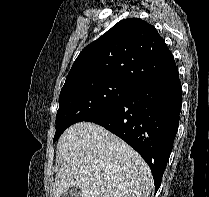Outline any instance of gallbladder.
<instances>
[{
	"instance_id": "bac80fb5",
	"label": "gallbladder",
	"mask_w": 209,
	"mask_h": 197,
	"mask_svg": "<svg viewBox=\"0 0 209 197\" xmlns=\"http://www.w3.org/2000/svg\"><path fill=\"white\" fill-rule=\"evenodd\" d=\"M62 197H83V192L79 187H74L64 193Z\"/></svg>"
}]
</instances>
